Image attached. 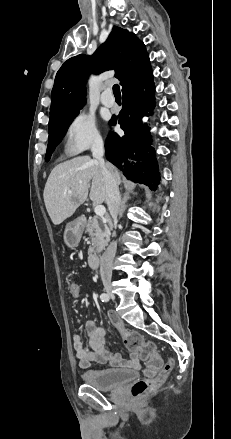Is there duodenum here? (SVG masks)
Returning a JSON list of instances; mask_svg holds the SVG:
<instances>
[{
  "mask_svg": "<svg viewBox=\"0 0 231 439\" xmlns=\"http://www.w3.org/2000/svg\"><path fill=\"white\" fill-rule=\"evenodd\" d=\"M88 264L92 269H97L99 267V256L95 251H91L88 254Z\"/></svg>",
  "mask_w": 231,
  "mask_h": 439,
  "instance_id": "duodenum-1",
  "label": "duodenum"
}]
</instances>
